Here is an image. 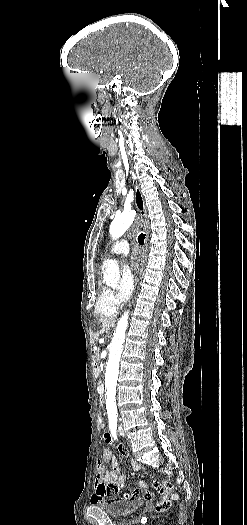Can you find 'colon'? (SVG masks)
I'll list each match as a JSON object with an SVG mask.
<instances>
[{
	"label": "colon",
	"mask_w": 247,
	"mask_h": 525,
	"mask_svg": "<svg viewBox=\"0 0 247 525\" xmlns=\"http://www.w3.org/2000/svg\"><path fill=\"white\" fill-rule=\"evenodd\" d=\"M95 424L98 427V430L100 432H103L105 430L104 426L106 424V421H105L104 418H102V417L97 418L96 421H95ZM170 491H171V496L174 497L175 499H177L178 498L177 493L173 489H170Z\"/></svg>",
	"instance_id": "colon-1"
}]
</instances>
